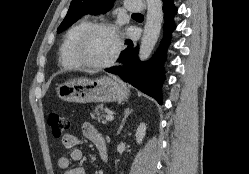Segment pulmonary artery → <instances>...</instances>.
Returning a JSON list of instances; mask_svg holds the SVG:
<instances>
[{
	"instance_id": "e3ab8cb5",
	"label": "pulmonary artery",
	"mask_w": 249,
	"mask_h": 174,
	"mask_svg": "<svg viewBox=\"0 0 249 174\" xmlns=\"http://www.w3.org/2000/svg\"><path fill=\"white\" fill-rule=\"evenodd\" d=\"M125 5L131 13H140L144 9V3L141 0H125Z\"/></svg>"
}]
</instances>
